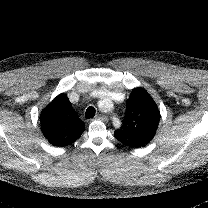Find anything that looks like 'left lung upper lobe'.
I'll return each mask as SVG.
<instances>
[{"label":"left lung upper lobe","mask_w":208,"mask_h":208,"mask_svg":"<svg viewBox=\"0 0 208 208\" xmlns=\"http://www.w3.org/2000/svg\"><path fill=\"white\" fill-rule=\"evenodd\" d=\"M159 120L160 111L152 97L144 89L135 88L126 101L123 125L114 136L125 146L142 147L155 136Z\"/></svg>","instance_id":"1"}]
</instances>
